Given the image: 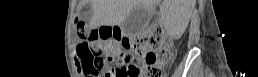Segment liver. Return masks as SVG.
<instances>
[{"instance_id": "liver-1", "label": "liver", "mask_w": 258, "mask_h": 77, "mask_svg": "<svg viewBox=\"0 0 258 77\" xmlns=\"http://www.w3.org/2000/svg\"><path fill=\"white\" fill-rule=\"evenodd\" d=\"M195 0H164L162 7H171L177 12L181 23L187 25ZM160 0H93L92 27L121 25L131 10L136 7L152 12Z\"/></svg>"}]
</instances>
